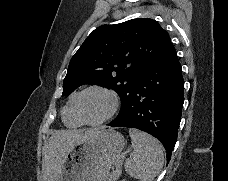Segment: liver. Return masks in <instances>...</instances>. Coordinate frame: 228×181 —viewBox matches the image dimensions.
Returning <instances> with one entry per match:
<instances>
[{"mask_svg":"<svg viewBox=\"0 0 228 181\" xmlns=\"http://www.w3.org/2000/svg\"><path fill=\"white\" fill-rule=\"evenodd\" d=\"M96 131H100V129H92L85 133L82 131H53L52 137L46 141L43 147L42 173L45 181H57L71 149Z\"/></svg>","mask_w":228,"mask_h":181,"instance_id":"6515ba94","label":"liver"}]
</instances>
